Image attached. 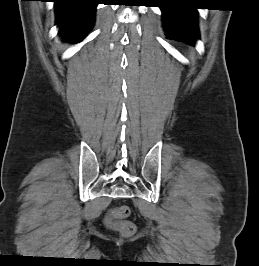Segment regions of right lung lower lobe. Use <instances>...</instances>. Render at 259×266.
Listing matches in <instances>:
<instances>
[{"label":"right lung lower lobe","mask_w":259,"mask_h":266,"mask_svg":"<svg viewBox=\"0 0 259 266\" xmlns=\"http://www.w3.org/2000/svg\"><path fill=\"white\" fill-rule=\"evenodd\" d=\"M100 0H54L59 31L71 41H81L94 22Z\"/></svg>","instance_id":"98d812e1"}]
</instances>
